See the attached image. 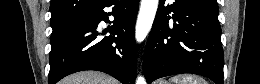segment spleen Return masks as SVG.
<instances>
[{
	"mask_svg": "<svg viewBox=\"0 0 260 84\" xmlns=\"http://www.w3.org/2000/svg\"><path fill=\"white\" fill-rule=\"evenodd\" d=\"M176 84H207V82L200 76L193 74L177 75L171 78Z\"/></svg>",
	"mask_w": 260,
	"mask_h": 84,
	"instance_id": "obj_1",
	"label": "spleen"
}]
</instances>
